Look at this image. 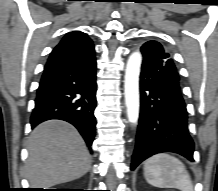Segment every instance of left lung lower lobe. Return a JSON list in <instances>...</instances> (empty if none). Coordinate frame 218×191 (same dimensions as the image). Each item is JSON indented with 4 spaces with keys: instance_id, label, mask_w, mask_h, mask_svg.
Instances as JSON below:
<instances>
[{
    "instance_id": "obj_1",
    "label": "left lung lower lobe",
    "mask_w": 218,
    "mask_h": 191,
    "mask_svg": "<svg viewBox=\"0 0 218 191\" xmlns=\"http://www.w3.org/2000/svg\"><path fill=\"white\" fill-rule=\"evenodd\" d=\"M140 93V117L131 170L148 157L167 151L193 161L194 143L176 76L170 70L158 71L143 55Z\"/></svg>"
}]
</instances>
